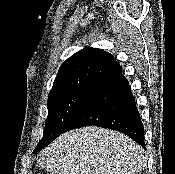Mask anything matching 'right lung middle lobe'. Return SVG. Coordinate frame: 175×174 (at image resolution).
Segmentation results:
<instances>
[{"label":"right lung middle lobe","instance_id":"obj_1","mask_svg":"<svg viewBox=\"0 0 175 174\" xmlns=\"http://www.w3.org/2000/svg\"><path fill=\"white\" fill-rule=\"evenodd\" d=\"M91 91H74L48 98V116L36 149L46 147L59 135L66 131L70 121L81 107Z\"/></svg>","mask_w":175,"mask_h":174}]
</instances>
